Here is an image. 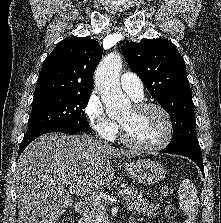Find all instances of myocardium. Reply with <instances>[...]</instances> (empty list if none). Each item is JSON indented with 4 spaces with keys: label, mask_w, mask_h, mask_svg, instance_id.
Masks as SVG:
<instances>
[{
    "label": "myocardium",
    "mask_w": 221,
    "mask_h": 223,
    "mask_svg": "<svg viewBox=\"0 0 221 223\" xmlns=\"http://www.w3.org/2000/svg\"><path fill=\"white\" fill-rule=\"evenodd\" d=\"M134 110L136 111H143V110H156L158 111L164 118L165 123H166V132L164 137L162 138L161 141L154 145H144V144H139L134 141H132L127 134V131L124 127L123 124L119 123L120 125V137L122 142L128 146L129 148H132L137 151H144V152H155V151H160L167 147L169 143L171 142L174 134V124L171 118V115L169 112L161 105L155 104V103H138L133 107Z\"/></svg>",
    "instance_id": "f54148a6"
}]
</instances>
